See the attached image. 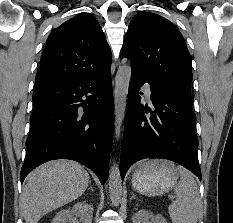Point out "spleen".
<instances>
[{"label":"spleen","mask_w":233,"mask_h":223,"mask_svg":"<svg viewBox=\"0 0 233 223\" xmlns=\"http://www.w3.org/2000/svg\"><path fill=\"white\" fill-rule=\"evenodd\" d=\"M178 169L181 177L174 189L176 199L169 205V215L172 223H197L201 203L197 183L188 169Z\"/></svg>","instance_id":"spleen-1"}]
</instances>
